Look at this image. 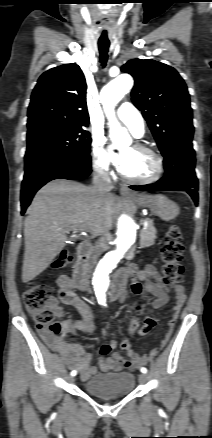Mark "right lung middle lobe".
Instances as JSON below:
<instances>
[{"label": "right lung middle lobe", "mask_w": 212, "mask_h": 438, "mask_svg": "<svg viewBox=\"0 0 212 438\" xmlns=\"http://www.w3.org/2000/svg\"><path fill=\"white\" fill-rule=\"evenodd\" d=\"M27 142L26 153L89 155L91 138L89 132L83 128L46 125L28 130Z\"/></svg>", "instance_id": "dd1d6c3e"}]
</instances>
